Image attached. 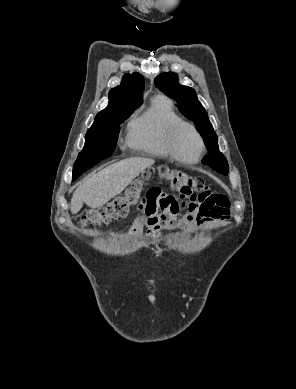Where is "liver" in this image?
I'll return each mask as SVG.
<instances>
[{
  "mask_svg": "<svg viewBox=\"0 0 296 389\" xmlns=\"http://www.w3.org/2000/svg\"><path fill=\"white\" fill-rule=\"evenodd\" d=\"M154 162L151 158L132 157L105 167L86 179L75 190L71 199V213L77 214L83 203L90 208L102 207Z\"/></svg>",
  "mask_w": 296,
  "mask_h": 389,
  "instance_id": "6515ba94",
  "label": "liver"
}]
</instances>
